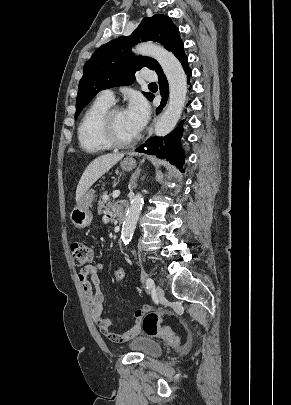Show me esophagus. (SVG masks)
<instances>
[{
  "mask_svg": "<svg viewBox=\"0 0 291 405\" xmlns=\"http://www.w3.org/2000/svg\"><path fill=\"white\" fill-rule=\"evenodd\" d=\"M156 121H157V117L153 119V121H152V123H151V125H150V127H149V130H148V137L151 136Z\"/></svg>",
  "mask_w": 291,
  "mask_h": 405,
  "instance_id": "1",
  "label": "esophagus"
}]
</instances>
